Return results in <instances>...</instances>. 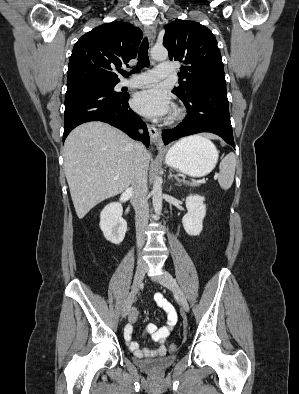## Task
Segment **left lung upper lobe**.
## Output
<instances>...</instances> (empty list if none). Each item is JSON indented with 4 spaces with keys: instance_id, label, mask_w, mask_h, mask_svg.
I'll use <instances>...</instances> for the list:
<instances>
[{
    "instance_id": "obj_1",
    "label": "left lung upper lobe",
    "mask_w": 299,
    "mask_h": 394,
    "mask_svg": "<svg viewBox=\"0 0 299 394\" xmlns=\"http://www.w3.org/2000/svg\"><path fill=\"white\" fill-rule=\"evenodd\" d=\"M164 46L170 60L183 63L179 86L173 89L186 100L201 85H226L221 53L213 33L194 21L176 19L165 26Z\"/></svg>"
}]
</instances>
